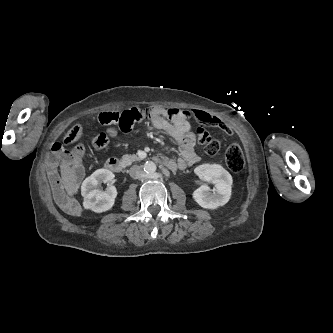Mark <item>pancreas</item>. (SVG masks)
Listing matches in <instances>:
<instances>
[{"mask_svg":"<svg viewBox=\"0 0 333 333\" xmlns=\"http://www.w3.org/2000/svg\"><path fill=\"white\" fill-rule=\"evenodd\" d=\"M139 160H141V158L138 157V156L135 155V154H132V155H128V154H126V155H123V157H122V161H123L124 163H126L127 165L131 164L132 162L139 161Z\"/></svg>","mask_w":333,"mask_h":333,"instance_id":"1","label":"pancreas"}]
</instances>
